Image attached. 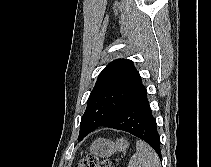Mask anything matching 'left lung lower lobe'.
<instances>
[{
    "label": "left lung lower lobe",
    "instance_id": "1",
    "mask_svg": "<svg viewBox=\"0 0 211 167\" xmlns=\"http://www.w3.org/2000/svg\"><path fill=\"white\" fill-rule=\"evenodd\" d=\"M102 126L123 130L137 136L147 142L160 158L162 157L160 136L147 99L146 89L129 101L109 122Z\"/></svg>",
    "mask_w": 211,
    "mask_h": 167
}]
</instances>
